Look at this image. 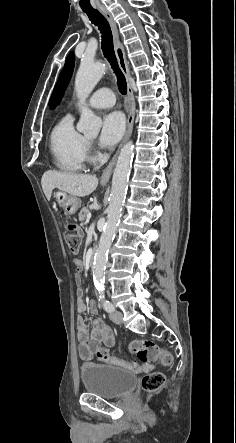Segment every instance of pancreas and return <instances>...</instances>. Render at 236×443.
I'll list each match as a JSON object with an SVG mask.
<instances>
[{
  "label": "pancreas",
  "instance_id": "obj_1",
  "mask_svg": "<svg viewBox=\"0 0 236 443\" xmlns=\"http://www.w3.org/2000/svg\"><path fill=\"white\" fill-rule=\"evenodd\" d=\"M89 213H90V212H89V209H88V208H86V207L82 208L81 211H80V213H79V215H78L79 220H80V221H85V219L87 218V215H88Z\"/></svg>",
  "mask_w": 236,
  "mask_h": 443
}]
</instances>
